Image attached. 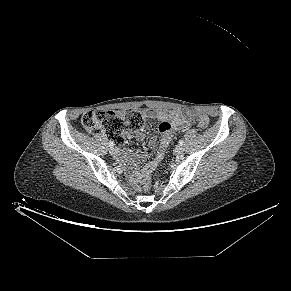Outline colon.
Returning a JSON list of instances; mask_svg holds the SVG:
<instances>
[{
  "mask_svg": "<svg viewBox=\"0 0 291 291\" xmlns=\"http://www.w3.org/2000/svg\"><path fill=\"white\" fill-rule=\"evenodd\" d=\"M145 113L140 109H131L128 111H89L82 116L83 126L92 133H105L107 137L121 144L127 134L141 128L145 121ZM199 128L205 129L208 124V118L200 112L196 113ZM151 167H146L141 175V184L144 189L151 186L150 173Z\"/></svg>",
  "mask_w": 291,
  "mask_h": 291,
  "instance_id": "obj_1",
  "label": "colon"
}]
</instances>
